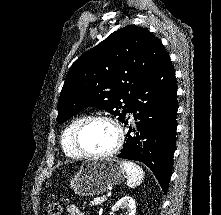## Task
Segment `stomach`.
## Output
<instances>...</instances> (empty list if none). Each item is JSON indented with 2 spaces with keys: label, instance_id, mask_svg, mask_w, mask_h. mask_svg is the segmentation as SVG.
Returning a JSON list of instances; mask_svg holds the SVG:
<instances>
[{
  "label": "stomach",
  "instance_id": "stomach-1",
  "mask_svg": "<svg viewBox=\"0 0 221 215\" xmlns=\"http://www.w3.org/2000/svg\"><path fill=\"white\" fill-rule=\"evenodd\" d=\"M126 176L121 162L113 158L84 162L70 180V186L80 196H93L120 184Z\"/></svg>",
  "mask_w": 221,
  "mask_h": 215
}]
</instances>
